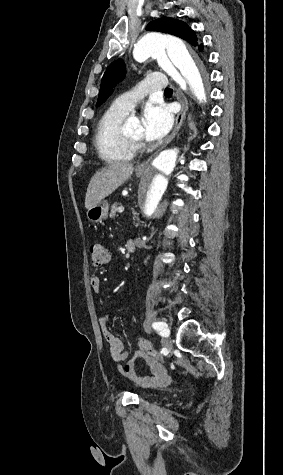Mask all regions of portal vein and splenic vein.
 <instances>
[{
  "mask_svg": "<svg viewBox=\"0 0 283 475\" xmlns=\"http://www.w3.org/2000/svg\"><path fill=\"white\" fill-rule=\"evenodd\" d=\"M118 212H124L123 206H120V208H118Z\"/></svg>",
  "mask_w": 283,
  "mask_h": 475,
  "instance_id": "1",
  "label": "portal vein and splenic vein"
}]
</instances>
